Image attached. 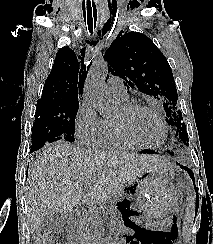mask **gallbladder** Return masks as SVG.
<instances>
[{"label":"gallbladder","instance_id":"gallbladder-1","mask_svg":"<svg viewBox=\"0 0 213 244\" xmlns=\"http://www.w3.org/2000/svg\"><path fill=\"white\" fill-rule=\"evenodd\" d=\"M65 224L66 217L64 214L48 211L42 218L39 233L41 235L48 233L60 234L64 230Z\"/></svg>","mask_w":213,"mask_h":244}]
</instances>
